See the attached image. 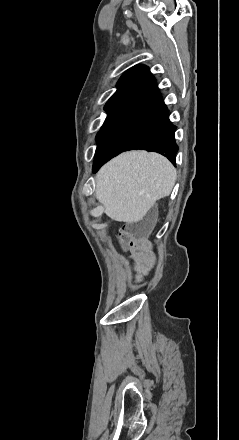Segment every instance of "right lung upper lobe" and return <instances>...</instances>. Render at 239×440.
I'll return each instance as SVG.
<instances>
[{
	"mask_svg": "<svg viewBox=\"0 0 239 440\" xmlns=\"http://www.w3.org/2000/svg\"><path fill=\"white\" fill-rule=\"evenodd\" d=\"M157 86L156 80L145 65H136L127 70L117 83V91L107 103L132 101Z\"/></svg>",
	"mask_w": 239,
	"mask_h": 440,
	"instance_id": "obj_1",
	"label": "right lung upper lobe"
}]
</instances>
